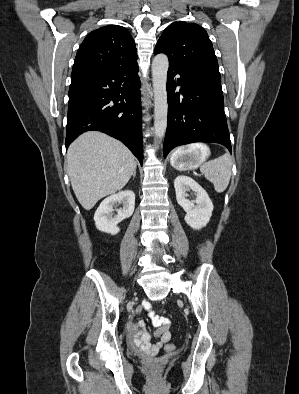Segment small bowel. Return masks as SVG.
Masks as SVG:
<instances>
[{
	"label": "small bowel",
	"mask_w": 299,
	"mask_h": 394,
	"mask_svg": "<svg viewBox=\"0 0 299 394\" xmlns=\"http://www.w3.org/2000/svg\"><path fill=\"white\" fill-rule=\"evenodd\" d=\"M142 310L148 311L152 324L156 327L154 335L158 338V342L154 344L150 342L151 336L146 329L144 321L129 324V341L134 349L147 355H154L167 345L171 339L170 320L155 312L149 302H143L137 312L140 313Z\"/></svg>",
	"instance_id": "obj_1"
}]
</instances>
